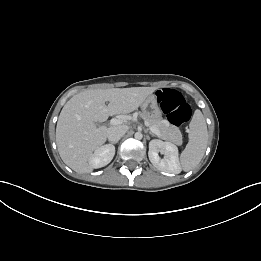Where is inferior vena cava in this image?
Wrapping results in <instances>:
<instances>
[{"instance_id": "obj_1", "label": "inferior vena cava", "mask_w": 261, "mask_h": 261, "mask_svg": "<svg viewBox=\"0 0 261 261\" xmlns=\"http://www.w3.org/2000/svg\"><path fill=\"white\" fill-rule=\"evenodd\" d=\"M128 128L123 125L112 126L107 130V138L112 143H117L125 135Z\"/></svg>"}]
</instances>
